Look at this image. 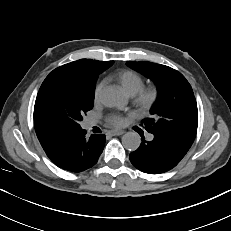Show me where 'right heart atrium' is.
Returning a JSON list of instances; mask_svg holds the SVG:
<instances>
[{
	"mask_svg": "<svg viewBox=\"0 0 231 231\" xmlns=\"http://www.w3.org/2000/svg\"><path fill=\"white\" fill-rule=\"evenodd\" d=\"M103 87H104V82H100L96 85L95 90H94V97L96 100L99 98Z\"/></svg>",
	"mask_w": 231,
	"mask_h": 231,
	"instance_id": "1",
	"label": "right heart atrium"
}]
</instances>
